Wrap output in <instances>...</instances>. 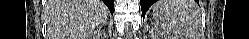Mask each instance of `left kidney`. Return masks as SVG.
<instances>
[{
	"instance_id": "obj_1",
	"label": "left kidney",
	"mask_w": 249,
	"mask_h": 39,
	"mask_svg": "<svg viewBox=\"0 0 249 39\" xmlns=\"http://www.w3.org/2000/svg\"><path fill=\"white\" fill-rule=\"evenodd\" d=\"M158 38L159 39H172L174 37L171 34H169L168 32L163 31L162 34L158 35Z\"/></svg>"
}]
</instances>
